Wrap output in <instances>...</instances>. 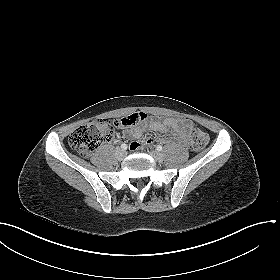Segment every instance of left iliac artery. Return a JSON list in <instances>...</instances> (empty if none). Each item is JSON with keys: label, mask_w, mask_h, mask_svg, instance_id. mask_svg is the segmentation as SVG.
I'll list each match as a JSON object with an SVG mask.
<instances>
[{"label": "left iliac artery", "mask_w": 280, "mask_h": 280, "mask_svg": "<svg viewBox=\"0 0 280 280\" xmlns=\"http://www.w3.org/2000/svg\"><path fill=\"white\" fill-rule=\"evenodd\" d=\"M156 149H157L158 151H162V150H163V147H162L161 145H158V146L156 147Z\"/></svg>", "instance_id": "1"}]
</instances>
